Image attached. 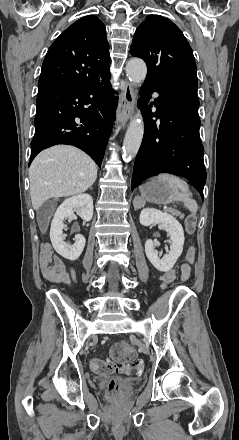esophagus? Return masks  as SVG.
<instances>
[{
    "mask_svg": "<svg viewBox=\"0 0 239 440\" xmlns=\"http://www.w3.org/2000/svg\"><path fill=\"white\" fill-rule=\"evenodd\" d=\"M136 102V94L134 87L129 83H125L124 91L121 93V105L117 115V120L125 127L131 118Z\"/></svg>",
    "mask_w": 239,
    "mask_h": 440,
    "instance_id": "esophagus-1",
    "label": "esophagus"
}]
</instances>
